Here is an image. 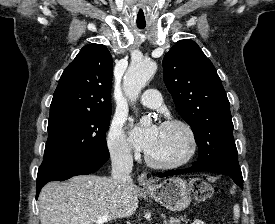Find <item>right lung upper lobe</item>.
<instances>
[{
	"instance_id": "cb5924a9",
	"label": "right lung upper lobe",
	"mask_w": 275,
	"mask_h": 224,
	"mask_svg": "<svg viewBox=\"0 0 275 224\" xmlns=\"http://www.w3.org/2000/svg\"><path fill=\"white\" fill-rule=\"evenodd\" d=\"M113 63L107 47L84 46L60 77L50 115L111 112Z\"/></svg>"
}]
</instances>
